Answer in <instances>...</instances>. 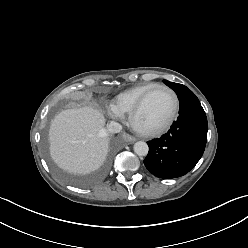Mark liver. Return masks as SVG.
I'll use <instances>...</instances> for the list:
<instances>
[{
  "instance_id": "liver-1",
  "label": "liver",
  "mask_w": 248,
  "mask_h": 248,
  "mask_svg": "<svg viewBox=\"0 0 248 248\" xmlns=\"http://www.w3.org/2000/svg\"><path fill=\"white\" fill-rule=\"evenodd\" d=\"M103 115L90 107L59 113L49 129L50 154L63 170L88 174L104 162L109 147Z\"/></svg>"
}]
</instances>
